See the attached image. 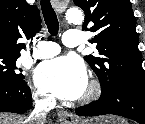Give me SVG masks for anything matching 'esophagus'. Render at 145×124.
I'll return each mask as SVG.
<instances>
[{
  "instance_id": "esophagus-1",
  "label": "esophagus",
  "mask_w": 145,
  "mask_h": 124,
  "mask_svg": "<svg viewBox=\"0 0 145 124\" xmlns=\"http://www.w3.org/2000/svg\"><path fill=\"white\" fill-rule=\"evenodd\" d=\"M58 118L63 124H73L76 122V118L74 117V115L64 110L58 112Z\"/></svg>"
}]
</instances>
